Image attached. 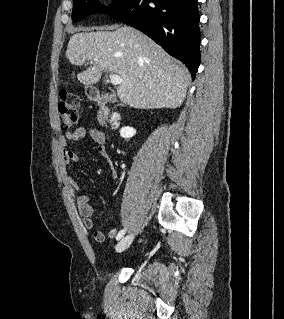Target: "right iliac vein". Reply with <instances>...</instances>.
Returning <instances> with one entry per match:
<instances>
[{
	"label": "right iliac vein",
	"mask_w": 284,
	"mask_h": 319,
	"mask_svg": "<svg viewBox=\"0 0 284 319\" xmlns=\"http://www.w3.org/2000/svg\"><path fill=\"white\" fill-rule=\"evenodd\" d=\"M133 239L134 236L132 234L122 238L116 245V252L120 253L125 251L131 245Z\"/></svg>",
	"instance_id": "obj_1"
}]
</instances>
